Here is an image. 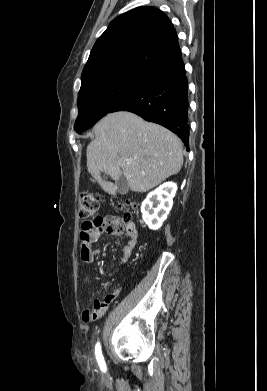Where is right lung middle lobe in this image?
<instances>
[{"mask_svg": "<svg viewBox=\"0 0 267 391\" xmlns=\"http://www.w3.org/2000/svg\"><path fill=\"white\" fill-rule=\"evenodd\" d=\"M147 77L146 73L118 71L101 74L82 84L78 94L76 132L81 133L92 127L138 89Z\"/></svg>", "mask_w": 267, "mask_h": 391, "instance_id": "obj_1", "label": "right lung middle lobe"}]
</instances>
